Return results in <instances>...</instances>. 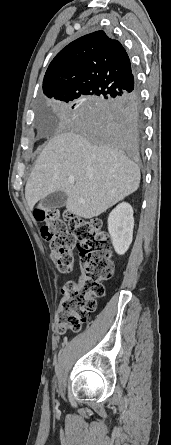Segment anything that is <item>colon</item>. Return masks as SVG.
Returning <instances> with one entry per match:
<instances>
[{"instance_id": "5ec220e1", "label": "colon", "mask_w": 171, "mask_h": 445, "mask_svg": "<svg viewBox=\"0 0 171 445\" xmlns=\"http://www.w3.org/2000/svg\"><path fill=\"white\" fill-rule=\"evenodd\" d=\"M42 239L49 244L57 268L69 273L73 251L78 248L81 273L61 290L56 327L59 333L79 331L95 311L97 299L104 296L102 281L113 274L109 235L99 218L61 219L55 210H39Z\"/></svg>"}]
</instances>
